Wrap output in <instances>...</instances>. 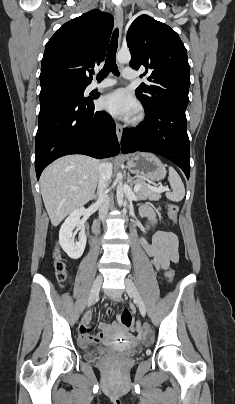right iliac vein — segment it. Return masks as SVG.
<instances>
[{"mask_svg": "<svg viewBox=\"0 0 235 404\" xmlns=\"http://www.w3.org/2000/svg\"><path fill=\"white\" fill-rule=\"evenodd\" d=\"M102 276L98 275L94 281V284L92 286L91 292H90V296H89V300H88V307H90L93 302L95 301V299L98 297L99 295V291L101 288V284H102Z\"/></svg>", "mask_w": 235, "mask_h": 404, "instance_id": "right-iliac-vein-1", "label": "right iliac vein"}]
</instances>
